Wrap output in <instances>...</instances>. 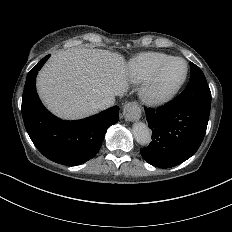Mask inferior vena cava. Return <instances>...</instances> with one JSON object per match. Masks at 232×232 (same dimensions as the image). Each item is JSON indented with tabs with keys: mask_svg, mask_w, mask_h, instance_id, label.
<instances>
[{
	"mask_svg": "<svg viewBox=\"0 0 232 232\" xmlns=\"http://www.w3.org/2000/svg\"><path fill=\"white\" fill-rule=\"evenodd\" d=\"M114 103H115L114 97L110 96V97H106V98L102 99L101 101H99L97 103H94L93 107L95 109L104 110L106 108L113 106Z\"/></svg>",
	"mask_w": 232,
	"mask_h": 232,
	"instance_id": "1",
	"label": "inferior vena cava"
}]
</instances>
